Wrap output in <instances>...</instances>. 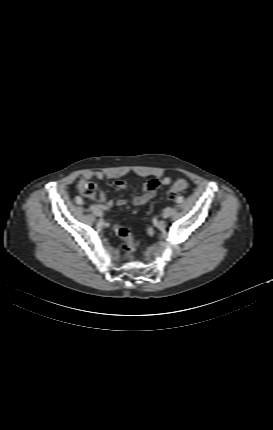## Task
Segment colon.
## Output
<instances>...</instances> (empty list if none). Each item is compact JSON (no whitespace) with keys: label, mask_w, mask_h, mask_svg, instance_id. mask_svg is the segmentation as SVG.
<instances>
[{"label":"colon","mask_w":273,"mask_h":430,"mask_svg":"<svg viewBox=\"0 0 273 430\" xmlns=\"http://www.w3.org/2000/svg\"><path fill=\"white\" fill-rule=\"evenodd\" d=\"M186 188H187V182L183 179H179L175 181L171 186V188L169 189L168 196L171 199H174L178 196L180 192L184 191ZM77 189L79 193L85 197L94 196L97 190L95 183H93L91 180L85 177L79 181L77 185ZM113 229L115 233L124 241L122 249L126 257L129 260H132L134 258V254L137 247L133 240L130 230L118 224H115L113 226Z\"/></svg>","instance_id":"1"}]
</instances>
